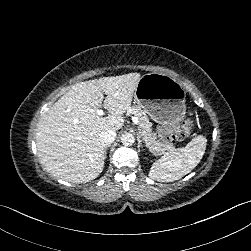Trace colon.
Masks as SVG:
<instances>
[{
	"instance_id": "colon-1",
	"label": "colon",
	"mask_w": 251,
	"mask_h": 251,
	"mask_svg": "<svg viewBox=\"0 0 251 251\" xmlns=\"http://www.w3.org/2000/svg\"><path fill=\"white\" fill-rule=\"evenodd\" d=\"M196 126L193 115L188 112L183 120L158 127V137L165 143L177 144L184 141Z\"/></svg>"
}]
</instances>
